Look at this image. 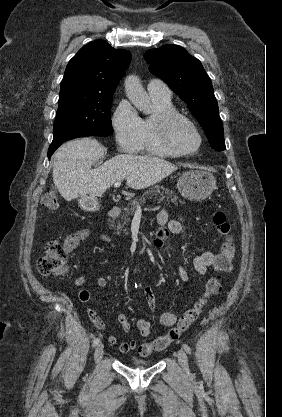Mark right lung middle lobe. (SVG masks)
<instances>
[{
	"instance_id": "1",
	"label": "right lung middle lobe",
	"mask_w": 282,
	"mask_h": 417,
	"mask_svg": "<svg viewBox=\"0 0 282 417\" xmlns=\"http://www.w3.org/2000/svg\"><path fill=\"white\" fill-rule=\"evenodd\" d=\"M112 100L113 93H60L53 138L72 132H83L91 136L111 135Z\"/></svg>"
}]
</instances>
